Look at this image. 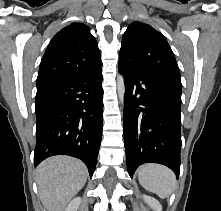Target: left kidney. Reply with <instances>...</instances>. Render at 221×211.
<instances>
[{
	"mask_svg": "<svg viewBox=\"0 0 221 211\" xmlns=\"http://www.w3.org/2000/svg\"><path fill=\"white\" fill-rule=\"evenodd\" d=\"M145 202L154 210V211H162V206L155 198L150 196H143Z\"/></svg>",
	"mask_w": 221,
	"mask_h": 211,
	"instance_id": "left-kidney-1",
	"label": "left kidney"
}]
</instances>
